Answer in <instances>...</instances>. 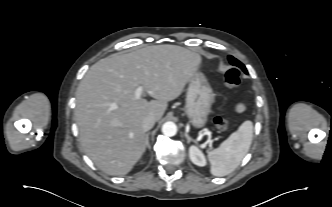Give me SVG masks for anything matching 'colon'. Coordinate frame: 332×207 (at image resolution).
I'll return each mask as SVG.
<instances>
[{"label": "colon", "instance_id": "colon-1", "mask_svg": "<svg viewBox=\"0 0 332 207\" xmlns=\"http://www.w3.org/2000/svg\"><path fill=\"white\" fill-rule=\"evenodd\" d=\"M240 83V74L237 69H229L225 74H224V84L228 88H234ZM214 123L216 127L221 130L225 131L228 129V127L231 124V121L222 117H216L214 119Z\"/></svg>", "mask_w": 332, "mask_h": 207}]
</instances>
